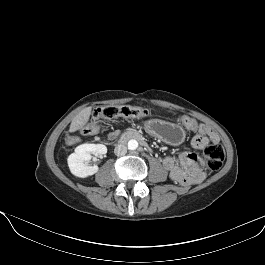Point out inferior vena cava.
<instances>
[{"label":"inferior vena cava","mask_w":265,"mask_h":265,"mask_svg":"<svg viewBox=\"0 0 265 265\" xmlns=\"http://www.w3.org/2000/svg\"><path fill=\"white\" fill-rule=\"evenodd\" d=\"M114 153L116 156H124L127 153V146L124 144H118L114 149Z\"/></svg>","instance_id":"obj_1"}]
</instances>
